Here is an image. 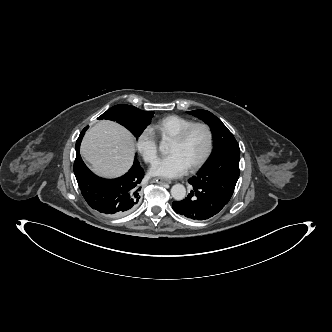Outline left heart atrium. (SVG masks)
I'll use <instances>...</instances> for the list:
<instances>
[{
	"instance_id": "obj_1",
	"label": "left heart atrium",
	"mask_w": 332,
	"mask_h": 332,
	"mask_svg": "<svg viewBox=\"0 0 332 332\" xmlns=\"http://www.w3.org/2000/svg\"><path fill=\"white\" fill-rule=\"evenodd\" d=\"M188 164L178 154H170L160 158L150 169L152 176L161 178H175L185 174Z\"/></svg>"
}]
</instances>
